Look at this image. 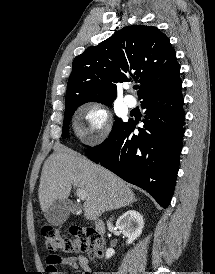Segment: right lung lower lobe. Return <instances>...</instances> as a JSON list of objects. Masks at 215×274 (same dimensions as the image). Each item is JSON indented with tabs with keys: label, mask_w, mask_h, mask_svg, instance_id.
Wrapping results in <instances>:
<instances>
[{
	"label": "right lung lower lobe",
	"mask_w": 215,
	"mask_h": 274,
	"mask_svg": "<svg viewBox=\"0 0 215 274\" xmlns=\"http://www.w3.org/2000/svg\"><path fill=\"white\" fill-rule=\"evenodd\" d=\"M183 100L181 88L146 98L141 102L146 115L138 135L133 134L135 123L129 120L102 144L86 149L87 156L146 190L167 208L174 191L185 131Z\"/></svg>",
	"instance_id": "obj_1"
}]
</instances>
